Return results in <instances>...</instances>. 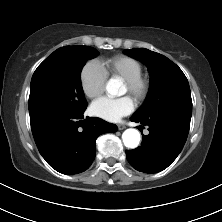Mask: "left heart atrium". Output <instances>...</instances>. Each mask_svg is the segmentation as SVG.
<instances>
[{
  "label": "left heart atrium",
  "mask_w": 222,
  "mask_h": 222,
  "mask_svg": "<svg viewBox=\"0 0 222 222\" xmlns=\"http://www.w3.org/2000/svg\"><path fill=\"white\" fill-rule=\"evenodd\" d=\"M134 107L133 100L128 96L117 99L100 97L90 105V112L96 117L115 122L130 114Z\"/></svg>",
  "instance_id": "1"
}]
</instances>
